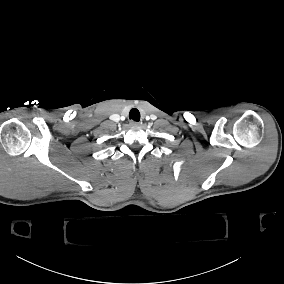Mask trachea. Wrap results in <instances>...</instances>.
Here are the masks:
<instances>
[{
    "instance_id": "3493384b",
    "label": "trachea",
    "mask_w": 284,
    "mask_h": 284,
    "mask_svg": "<svg viewBox=\"0 0 284 284\" xmlns=\"http://www.w3.org/2000/svg\"><path fill=\"white\" fill-rule=\"evenodd\" d=\"M129 118L138 122L140 120V113L138 109L136 108L131 109L129 113Z\"/></svg>"
}]
</instances>
